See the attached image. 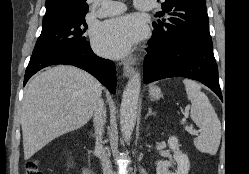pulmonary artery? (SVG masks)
I'll use <instances>...</instances> for the list:
<instances>
[{
  "label": "pulmonary artery",
  "mask_w": 249,
  "mask_h": 174,
  "mask_svg": "<svg viewBox=\"0 0 249 174\" xmlns=\"http://www.w3.org/2000/svg\"><path fill=\"white\" fill-rule=\"evenodd\" d=\"M134 6L139 11H151L153 8L152 0H134ZM125 10V5L121 2L112 0H101L100 7L96 12L98 17H107L120 14Z\"/></svg>",
  "instance_id": "1"
}]
</instances>
